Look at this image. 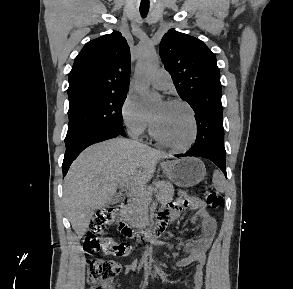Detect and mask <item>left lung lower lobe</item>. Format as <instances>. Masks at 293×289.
<instances>
[{"mask_svg": "<svg viewBox=\"0 0 293 289\" xmlns=\"http://www.w3.org/2000/svg\"><path fill=\"white\" fill-rule=\"evenodd\" d=\"M197 122V138L194 146L182 156L203 157L214 162L226 174V152L224 147L223 118L216 115H205L195 118Z\"/></svg>", "mask_w": 293, "mask_h": 289, "instance_id": "0a47b994", "label": "left lung lower lobe"}]
</instances>
